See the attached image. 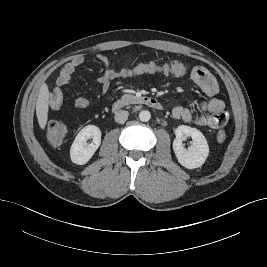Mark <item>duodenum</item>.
<instances>
[{
  "label": "duodenum",
  "instance_id": "1",
  "mask_svg": "<svg viewBox=\"0 0 267 267\" xmlns=\"http://www.w3.org/2000/svg\"><path fill=\"white\" fill-rule=\"evenodd\" d=\"M128 105H145L147 107L161 110L163 108L161 102L153 96H140L133 98H120L113 103V111H119L120 109Z\"/></svg>",
  "mask_w": 267,
  "mask_h": 267
}]
</instances>
